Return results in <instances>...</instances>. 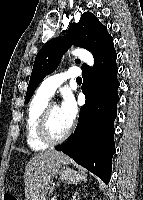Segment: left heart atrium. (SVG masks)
I'll return each instance as SVG.
<instances>
[{
    "mask_svg": "<svg viewBox=\"0 0 143 200\" xmlns=\"http://www.w3.org/2000/svg\"><path fill=\"white\" fill-rule=\"evenodd\" d=\"M59 110L62 116L64 117V119L66 120V122L69 125H72L76 117L77 107H76L74 98L72 97L70 93L66 92L63 94V99L59 107Z\"/></svg>",
    "mask_w": 143,
    "mask_h": 200,
    "instance_id": "left-heart-atrium-1",
    "label": "left heart atrium"
}]
</instances>
